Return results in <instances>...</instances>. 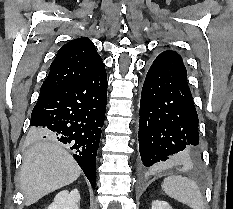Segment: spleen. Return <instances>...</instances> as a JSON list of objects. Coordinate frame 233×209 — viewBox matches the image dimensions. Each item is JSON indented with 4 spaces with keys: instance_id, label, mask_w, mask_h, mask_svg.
<instances>
[{
    "instance_id": "1",
    "label": "spleen",
    "mask_w": 233,
    "mask_h": 209,
    "mask_svg": "<svg viewBox=\"0 0 233 209\" xmlns=\"http://www.w3.org/2000/svg\"><path fill=\"white\" fill-rule=\"evenodd\" d=\"M162 188L168 196L192 209H204L202 194L194 181L183 176H169L164 179Z\"/></svg>"
}]
</instances>
